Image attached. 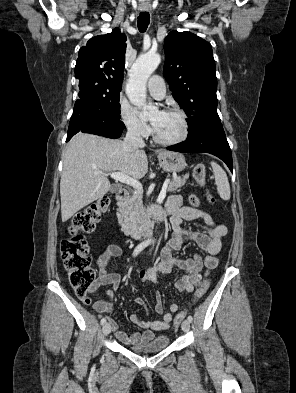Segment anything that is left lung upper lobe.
Here are the masks:
<instances>
[{
  "label": "left lung upper lobe",
  "mask_w": 296,
  "mask_h": 393,
  "mask_svg": "<svg viewBox=\"0 0 296 393\" xmlns=\"http://www.w3.org/2000/svg\"><path fill=\"white\" fill-rule=\"evenodd\" d=\"M164 49V76L174 99L188 116V136L221 123L211 44L190 32L171 31L165 38Z\"/></svg>",
  "instance_id": "obj_1"
}]
</instances>
